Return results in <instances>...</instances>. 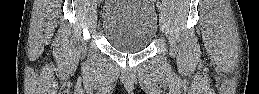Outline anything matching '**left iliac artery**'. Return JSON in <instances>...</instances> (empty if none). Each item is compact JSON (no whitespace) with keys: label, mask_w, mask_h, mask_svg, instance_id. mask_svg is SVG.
Here are the masks:
<instances>
[{"label":"left iliac artery","mask_w":259,"mask_h":94,"mask_svg":"<svg viewBox=\"0 0 259 94\" xmlns=\"http://www.w3.org/2000/svg\"><path fill=\"white\" fill-rule=\"evenodd\" d=\"M157 7H158V9L160 11H164L165 10L164 6L160 2H157Z\"/></svg>","instance_id":"1"}]
</instances>
